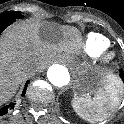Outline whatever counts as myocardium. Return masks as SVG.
Listing matches in <instances>:
<instances>
[{"label": "myocardium", "instance_id": "f54148a6", "mask_svg": "<svg viewBox=\"0 0 124 124\" xmlns=\"http://www.w3.org/2000/svg\"><path fill=\"white\" fill-rule=\"evenodd\" d=\"M117 58V52L114 49L107 48L105 49L99 58L101 66H110L112 65Z\"/></svg>", "mask_w": 124, "mask_h": 124}]
</instances>
